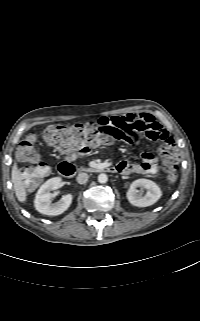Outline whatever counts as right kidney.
Here are the masks:
<instances>
[{
  "mask_svg": "<svg viewBox=\"0 0 200 321\" xmlns=\"http://www.w3.org/2000/svg\"><path fill=\"white\" fill-rule=\"evenodd\" d=\"M61 187V178L55 177L47 180L38 190L35 197V208L38 212L56 216L65 212L72 203V195L67 194L62 196L61 200L56 203H51L53 194L51 191Z\"/></svg>",
  "mask_w": 200,
  "mask_h": 321,
  "instance_id": "ca27d5eb",
  "label": "right kidney"
}]
</instances>
